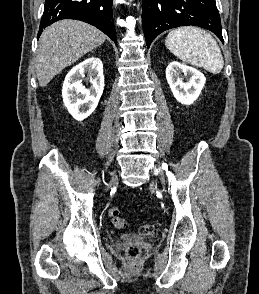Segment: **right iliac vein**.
Masks as SVG:
<instances>
[{"instance_id": "1", "label": "right iliac vein", "mask_w": 259, "mask_h": 294, "mask_svg": "<svg viewBox=\"0 0 259 294\" xmlns=\"http://www.w3.org/2000/svg\"><path fill=\"white\" fill-rule=\"evenodd\" d=\"M116 180H117V177L114 176V177H113V182H116Z\"/></svg>"}]
</instances>
